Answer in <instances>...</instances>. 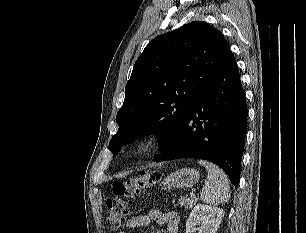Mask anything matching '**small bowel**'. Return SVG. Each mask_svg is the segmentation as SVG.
Returning <instances> with one entry per match:
<instances>
[{
  "mask_svg": "<svg viewBox=\"0 0 306 233\" xmlns=\"http://www.w3.org/2000/svg\"><path fill=\"white\" fill-rule=\"evenodd\" d=\"M151 221H155L159 225L166 226L167 233H178L179 230V217L176 213H163L158 210H151L147 215H138L130 218L126 222V229L133 230L141 227L148 226ZM119 233H127L120 231Z\"/></svg>",
  "mask_w": 306,
  "mask_h": 233,
  "instance_id": "small-bowel-1",
  "label": "small bowel"
}]
</instances>
